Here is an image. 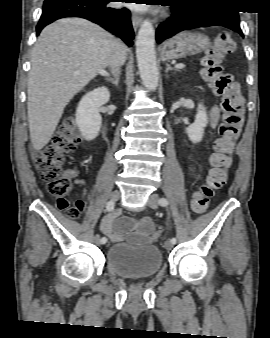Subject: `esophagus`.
<instances>
[{"instance_id": "34e87169", "label": "esophagus", "mask_w": 270, "mask_h": 338, "mask_svg": "<svg viewBox=\"0 0 270 338\" xmlns=\"http://www.w3.org/2000/svg\"><path fill=\"white\" fill-rule=\"evenodd\" d=\"M131 19H132L133 28L135 30H137V28L139 27V25L142 22V17L133 12L132 16H131Z\"/></svg>"}]
</instances>
